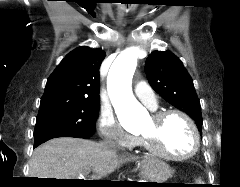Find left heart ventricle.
Returning <instances> with one entry per match:
<instances>
[{
	"instance_id": "1",
	"label": "left heart ventricle",
	"mask_w": 240,
	"mask_h": 187,
	"mask_svg": "<svg viewBox=\"0 0 240 187\" xmlns=\"http://www.w3.org/2000/svg\"><path fill=\"white\" fill-rule=\"evenodd\" d=\"M139 133L149 136L158 150L170 154H185L193 145L190 129L177 115H170L160 122L151 118L142 125Z\"/></svg>"
}]
</instances>
